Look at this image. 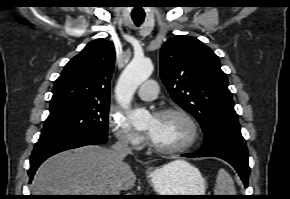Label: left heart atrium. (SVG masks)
<instances>
[{
  "instance_id": "39dd6f15",
  "label": "left heart atrium",
  "mask_w": 290,
  "mask_h": 199,
  "mask_svg": "<svg viewBox=\"0 0 290 199\" xmlns=\"http://www.w3.org/2000/svg\"><path fill=\"white\" fill-rule=\"evenodd\" d=\"M151 134H152V132L150 131V132H148V136L150 137L151 136Z\"/></svg>"
}]
</instances>
